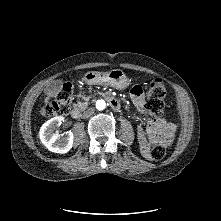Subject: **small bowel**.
<instances>
[{"mask_svg":"<svg viewBox=\"0 0 221 221\" xmlns=\"http://www.w3.org/2000/svg\"><path fill=\"white\" fill-rule=\"evenodd\" d=\"M132 101L143 117V126H139L137 137L140 144L142 154L149 158V150L151 143L168 144L175 132V125L167 122L165 118L158 116L151 119L145 107V97L141 86H134L131 89Z\"/></svg>","mask_w":221,"mask_h":221,"instance_id":"c3829d8e","label":"small bowel"}]
</instances>
